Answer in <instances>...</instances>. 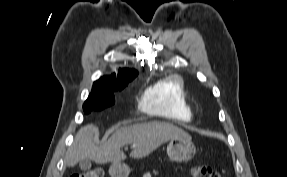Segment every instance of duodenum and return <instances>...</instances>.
Listing matches in <instances>:
<instances>
[{"label":"duodenum","instance_id":"410a0bca","mask_svg":"<svg viewBox=\"0 0 287 177\" xmlns=\"http://www.w3.org/2000/svg\"><path fill=\"white\" fill-rule=\"evenodd\" d=\"M115 172H116V174H119V175H125L126 174V172L123 169H117Z\"/></svg>","mask_w":287,"mask_h":177}]
</instances>
